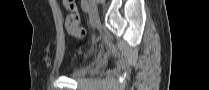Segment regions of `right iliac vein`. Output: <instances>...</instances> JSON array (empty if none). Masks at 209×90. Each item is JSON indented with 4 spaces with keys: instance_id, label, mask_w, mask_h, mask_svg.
<instances>
[{
    "instance_id": "right-iliac-vein-1",
    "label": "right iliac vein",
    "mask_w": 209,
    "mask_h": 90,
    "mask_svg": "<svg viewBox=\"0 0 209 90\" xmlns=\"http://www.w3.org/2000/svg\"><path fill=\"white\" fill-rule=\"evenodd\" d=\"M98 11L96 4L94 2H90V24L92 27H95L98 23Z\"/></svg>"
}]
</instances>
